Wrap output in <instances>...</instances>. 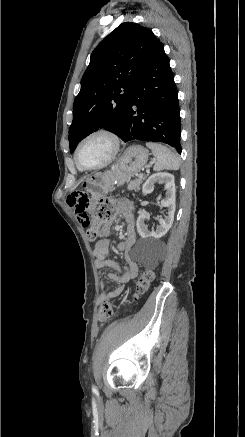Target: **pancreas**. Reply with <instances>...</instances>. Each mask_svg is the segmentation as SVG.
<instances>
[{"instance_id":"1","label":"pancreas","mask_w":245,"mask_h":437,"mask_svg":"<svg viewBox=\"0 0 245 437\" xmlns=\"http://www.w3.org/2000/svg\"><path fill=\"white\" fill-rule=\"evenodd\" d=\"M144 180H145V177H141V178H138V179L131 181L127 186L128 190H135V191L139 190L140 185L142 184V182Z\"/></svg>"}]
</instances>
